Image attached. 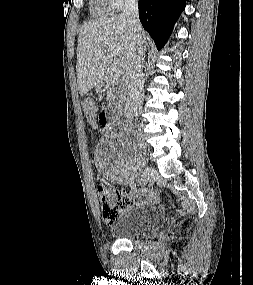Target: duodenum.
Masks as SVG:
<instances>
[{
  "instance_id": "duodenum-1",
  "label": "duodenum",
  "mask_w": 253,
  "mask_h": 285,
  "mask_svg": "<svg viewBox=\"0 0 253 285\" xmlns=\"http://www.w3.org/2000/svg\"><path fill=\"white\" fill-rule=\"evenodd\" d=\"M108 86V80H102L100 81L99 85H98V88L99 90H105ZM117 116V111H113V112H109L108 113V118L109 120H114Z\"/></svg>"
}]
</instances>
